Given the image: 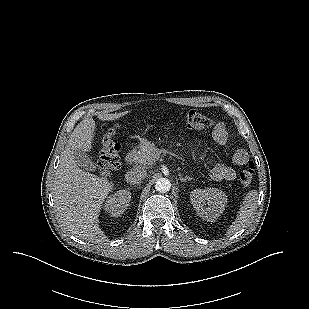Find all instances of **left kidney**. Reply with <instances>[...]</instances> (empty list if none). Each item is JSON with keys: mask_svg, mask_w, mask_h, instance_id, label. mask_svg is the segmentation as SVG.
<instances>
[{"mask_svg": "<svg viewBox=\"0 0 309 309\" xmlns=\"http://www.w3.org/2000/svg\"><path fill=\"white\" fill-rule=\"evenodd\" d=\"M190 200L197 214L207 221H215L223 213L227 196L217 188L196 189Z\"/></svg>", "mask_w": 309, "mask_h": 309, "instance_id": "1", "label": "left kidney"}]
</instances>
